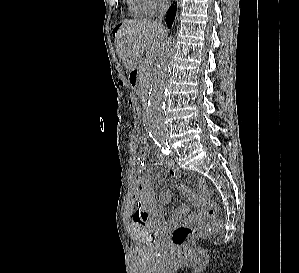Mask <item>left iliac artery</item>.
Segmentation results:
<instances>
[{
  "mask_svg": "<svg viewBox=\"0 0 299 273\" xmlns=\"http://www.w3.org/2000/svg\"><path fill=\"white\" fill-rule=\"evenodd\" d=\"M159 147L161 148V150L164 154H166V155L170 154V148H169L167 142H163V143L159 144Z\"/></svg>",
  "mask_w": 299,
  "mask_h": 273,
  "instance_id": "1",
  "label": "left iliac artery"
}]
</instances>
